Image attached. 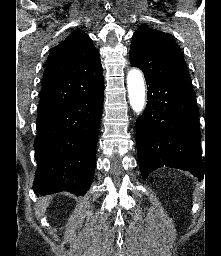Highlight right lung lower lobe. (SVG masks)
<instances>
[{"label": "right lung lower lobe", "mask_w": 221, "mask_h": 256, "mask_svg": "<svg viewBox=\"0 0 221 256\" xmlns=\"http://www.w3.org/2000/svg\"><path fill=\"white\" fill-rule=\"evenodd\" d=\"M103 95L102 88L38 112L34 192L47 195L68 191L76 196L87 192L96 165Z\"/></svg>", "instance_id": "98d812e1"}]
</instances>
